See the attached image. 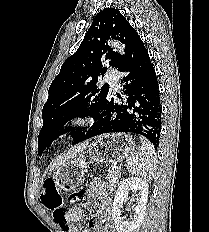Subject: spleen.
Returning <instances> with one entry per match:
<instances>
[{"instance_id":"1","label":"spleen","mask_w":209,"mask_h":232,"mask_svg":"<svg viewBox=\"0 0 209 232\" xmlns=\"http://www.w3.org/2000/svg\"><path fill=\"white\" fill-rule=\"evenodd\" d=\"M141 147L126 161L128 171L135 176H141L146 181L152 180L157 167V156L154 146L144 137H140Z\"/></svg>"}]
</instances>
